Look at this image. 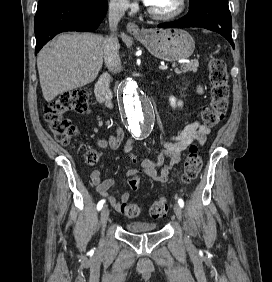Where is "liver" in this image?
Listing matches in <instances>:
<instances>
[{"instance_id":"6515ba94","label":"liver","mask_w":272,"mask_h":282,"mask_svg":"<svg viewBox=\"0 0 272 282\" xmlns=\"http://www.w3.org/2000/svg\"><path fill=\"white\" fill-rule=\"evenodd\" d=\"M104 42L103 36L92 33L61 34L38 53L40 85L47 102L96 79L103 65Z\"/></svg>"}]
</instances>
